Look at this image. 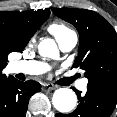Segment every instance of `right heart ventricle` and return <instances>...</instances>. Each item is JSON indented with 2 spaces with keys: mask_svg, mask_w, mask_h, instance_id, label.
Masks as SVG:
<instances>
[{
  "mask_svg": "<svg viewBox=\"0 0 117 117\" xmlns=\"http://www.w3.org/2000/svg\"><path fill=\"white\" fill-rule=\"evenodd\" d=\"M48 30L56 37V39H59L66 34L73 32L70 28L62 23H52L49 25Z\"/></svg>",
  "mask_w": 117,
  "mask_h": 117,
  "instance_id": "e07e8e85",
  "label": "right heart ventricle"
}]
</instances>
